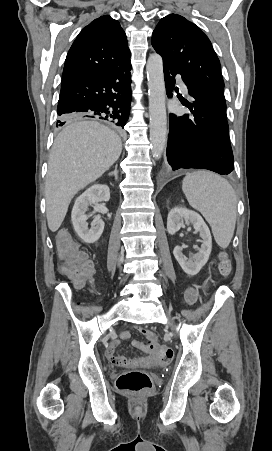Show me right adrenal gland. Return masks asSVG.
I'll return each instance as SVG.
<instances>
[{
	"instance_id": "2a0ac1e0",
	"label": "right adrenal gland",
	"mask_w": 272,
	"mask_h": 451,
	"mask_svg": "<svg viewBox=\"0 0 272 451\" xmlns=\"http://www.w3.org/2000/svg\"><path fill=\"white\" fill-rule=\"evenodd\" d=\"M108 176H115V180H117V178H118L117 166H116L114 172H110V174H108Z\"/></svg>"
}]
</instances>
